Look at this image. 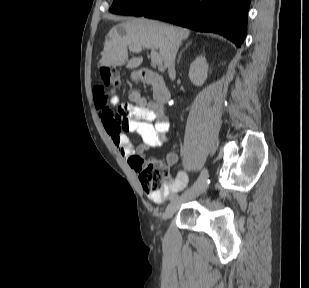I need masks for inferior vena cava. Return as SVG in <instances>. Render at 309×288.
Masks as SVG:
<instances>
[{
  "instance_id": "602c4592",
  "label": "inferior vena cava",
  "mask_w": 309,
  "mask_h": 288,
  "mask_svg": "<svg viewBox=\"0 0 309 288\" xmlns=\"http://www.w3.org/2000/svg\"><path fill=\"white\" fill-rule=\"evenodd\" d=\"M179 44L174 43L171 46L169 57H168V72L169 74L173 73L175 70V57L178 50Z\"/></svg>"
}]
</instances>
